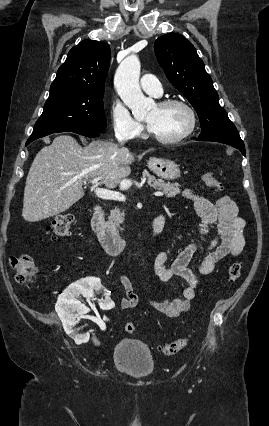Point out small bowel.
<instances>
[{"label": "small bowel", "mask_w": 269, "mask_h": 426, "mask_svg": "<svg viewBox=\"0 0 269 426\" xmlns=\"http://www.w3.org/2000/svg\"><path fill=\"white\" fill-rule=\"evenodd\" d=\"M183 197L190 200L196 214L201 219V236L216 232V238L208 246V254L200 262L197 272L189 267L196 249V243L186 245L175 259L169 263L166 252H160L154 259V271L161 281L181 277L187 282L179 297L163 301L148 300L149 305L167 317H175L190 310L191 303L200 285V276L211 274L224 259L237 257L246 246L244 229L246 222L239 216L236 204L228 196H220L214 202L190 189L183 192ZM119 281L125 296L119 300L122 309H134L140 298L134 291L133 284L126 274H120Z\"/></svg>", "instance_id": "c3829d8e"}]
</instances>
